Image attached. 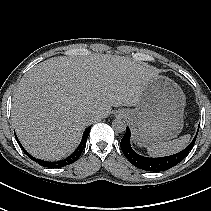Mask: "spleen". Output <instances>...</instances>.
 <instances>
[{"label": "spleen", "mask_w": 211, "mask_h": 211, "mask_svg": "<svg viewBox=\"0 0 211 211\" xmlns=\"http://www.w3.org/2000/svg\"><path fill=\"white\" fill-rule=\"evenodd\" d=\"M190 141V135H184L178 139H174L168 142H161L155 145L147 147L148 154L150 156H164L177 153L185 148Z\"/></svg>", "instance_id": "obj_1"}]
</instances>
